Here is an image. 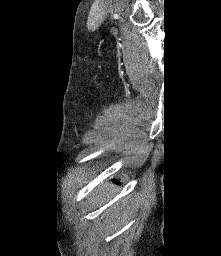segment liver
<instances>
[{
	"mask_svg": "<svg viewBox=\"0 0 221 256\" xmlns=\"http://www.w3.org/2000/svg\"><path fill=\"white\" fill-rule=\"evenodd\" d=\"M107 189L109 190V189H111V188H107V186L98 188V190H97L98 196H97V197H98V199H99L100 202L103 201V198H105L106 195H107V197L110 196V192H107Z\"/></svg>",
	"mask_w": 221,
	"mask_h": 256,
	"instance_id": "6515ba94",
	"label": "liver"
}]
</instances>
